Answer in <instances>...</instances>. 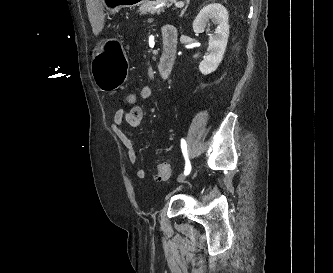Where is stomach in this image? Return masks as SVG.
Wrapping results in <instances>:
<instances>
[{
    "label": "stomach",
    "instance_id": "obj_1",
    "mask_svg": "<svg viewBox=\"0 0 333 273\" xmlns=\"http://www.w3.org/2000/svg\"><path fill=\"white\" fill-rule=\"evenodd\" d=\"M148 0H98L104 4V14H115L122 7H135L145 4ZM117 44L106 41L100 44L93 55L91 71L97 87L101 91H111L119 88L123 83V76L127 75L128 58L123 53H114L108 45Z\"/></svg>",
    "mask_w": 333,
    "mask_h": 273
}]
</instances>
